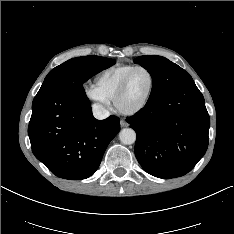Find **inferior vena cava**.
Wrapping results in <instances>:
<instances>
[{
    "mask_svg": "<svg viewBox=\"0 0 234 234\" xmlns=\"http://www.w3.org/2000/svg\"><path fill=\"white\" fill-rule=\"evenodd\" d=\"M92 110L94 117L98 120L106 119L110 115L109 111L101 104H93Z\"/></svg>",
    "mask_w": 234,
    "mask_h": 234,
    "instance_id": "obj_1",
    "label": "inferior vena cava"
}]
</instances>
